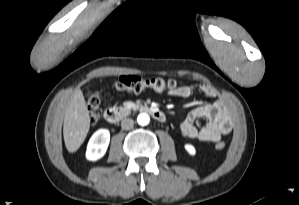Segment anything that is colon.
I'll use <instances>...</instances> for the list:
<instances>
[{"label":"colon","mask_w":299,"mask_h":205,"mask_svg":"<svg viewBox=\"0 0 299 205\" xmlns=\"http://www.w3.org/2000/svg\"><path fill=\"white\" fill-rule=\"evenodd\" d=\"M118 90L127 93H139L145 89H153L155 91L174 90L178 87V83L172 79L162 77L141 78L135 75H125L119 78L116 83ZM102 95L95 93L87 101V107L91 121L95 122L100 115V106ZM216 149L222 150L225 148L223 141L217 142Z\"/></svg>","instance_id":"1"}]
</instances>
